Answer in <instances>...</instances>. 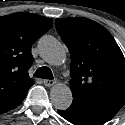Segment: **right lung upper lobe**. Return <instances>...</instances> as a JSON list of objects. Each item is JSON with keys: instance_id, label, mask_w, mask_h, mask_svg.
<instances>
[{"instance_id": "cb5924a9", "label": "right lung upper lobe", "mask_w": 125, "mask_h": 125, "mask_svg": "<svg viewBox=\"0 0 125 125\" xmlns=\"http://www.w3.org/2000/svg\"><path fill=\"white\" fill-rule=\"evenodd\" d=\"M52 23L51 18L25 12L0 17V101L26 94L34 84L28 75L31 46Z\"/></svg>"}]
</instances>
